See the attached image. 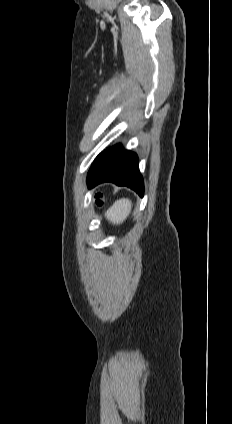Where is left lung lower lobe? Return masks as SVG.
I'll list each match as a JSON object with an SVG mask.
<instances>
[{
  "instance_id": "left-lung-lower-lobe-1",
  "label": "left lung lower lobe",
  "mask_w": 232,
  "mask_h": 424,
  "mask_svg": "<svg viewBox=\"0 0 232 424\" xmlns=\"http://www.w3.org/2000/svg\"><path fill=\"white\" fill-rule=\"evenodd\" d=\"M102 182L128 186L142 197L144 184L136 154L122 149L120 144L99 154L88 172L87 185L92 188Z\"/></svg>"
}]
</instances>
